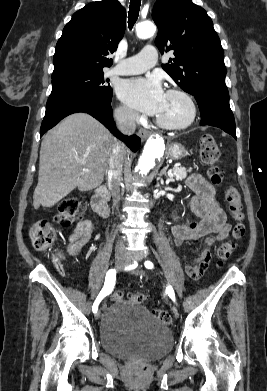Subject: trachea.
<instances>
[{"label":"trachea","instance_id":"3493384b","mask_svg":"<svg viewBox=\"0 0 267 391\" xmlns=\"http://www.w3.org/2000/svg\"><path fill=\"white\" fill-rule=\"evenodd\" d=\"M140 6H141V0H130L129 15H128L129 29H132L133 25L137 21V18L139 16Z\"/></svg>","mask_w":267,"mask_h":391}]
</instances>
